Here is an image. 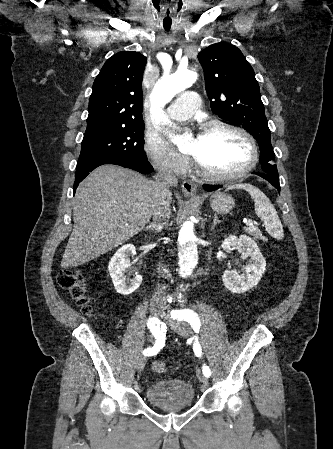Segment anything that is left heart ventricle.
Here are the masks:
<instances>
[{
  "instance_id": "obj_1",
  "label": "left heart ventricle",
  "mask_w": 333,
  "mask_h": 449,
  "mask_svg": "<svg viewBox=\"0 0 333 449\" xmlns=\"http://www.w3.org/2000/svg\"><path fill=\"white\" fill-rule=\"evenodd\" d=\"M188 152L209 171L218 174L237 171L250 160L248 143L229 131L200 134L190 141Z\"/></svg>"
}]
</instances>
